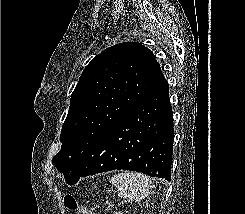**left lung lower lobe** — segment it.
Here are the masks:
<instances>
[{"instance_id": "0a47b994", "label": "left lung lower lobe", "mask_w": 245, "mask_h": 214, "mask_svg": "<svg viewBox=\"0 0 245 214\" xmlns=\"http://www.w3.org/2000/svg\"><path fill=\"white\" fill-rule=\"evenodd\" d=\"M168 86L165 81L112 124L64 176L66 182L116 169L171 181L174 128Z\"/></svg>"}]
</instances>
